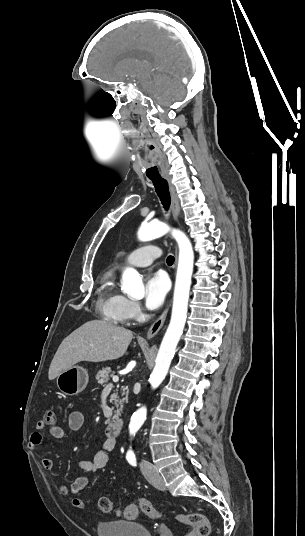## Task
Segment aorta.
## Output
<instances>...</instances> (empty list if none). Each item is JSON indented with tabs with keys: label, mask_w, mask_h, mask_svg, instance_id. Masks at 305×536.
Instances as JSON below:
<instances>
[{
	"label": "aorta",
	"mask_w": 305,
	"mask_h": 536,
	"mask_svg": "<svg viewBox=\"0 0 305 536\" xmlns=\"http://www.w3.org/2000/svg\"><path fill=\"white\" fill-rule=\"evenodd\" d=\"M168 232H171V235L178 244L179 257L171 320L160 345L155 361L156 364L149 379L153 389L157 388L165 379L177 344L183 333L187 318L191 277L194 265V252L189 238L182 231L171 229L163 222L152 221L148 224L141 225L138 230V239L140 241H150L159 238ZM121 283L122 290L127 295L134 298H142L144 296L143 281L135 269L126 268L122 274ZM146 415L147 409L142 406L133 414L130 427L135 430L139 429L146 420Z\"/></svg>",
	"instance_id": "aorta-1"
}]
</instances>
